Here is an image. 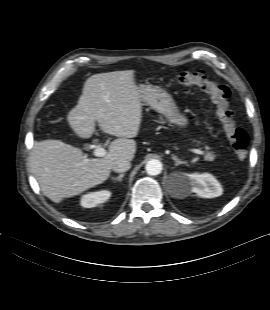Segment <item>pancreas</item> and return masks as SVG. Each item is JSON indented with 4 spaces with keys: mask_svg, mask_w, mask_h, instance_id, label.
<instances>
[{
    "mask_svg": "<svg viewBox=\"0 0 270 310\" xmlns=\"http://www.w3.org/2000/svg\"><path fill=\"white\" fill-rule=\"evenodd\" d=\"M206 149H210L208 146L205 147ZM206 160L212 161L215 158V155L212 152H208L205 156Z\"/></svg>",
    "mask_w": 270,
    "mask_h": 310,
    "instance_id": "obj_1",
    "label": "pancreas"
}]
</instances>
